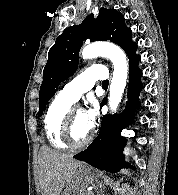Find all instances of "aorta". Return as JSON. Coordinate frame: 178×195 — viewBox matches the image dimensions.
Listing matches in <instances>:
<instances>
[{
    "instance_id": "762f6f07",
    "label": "aorta",
    "mask_w": 178,
    "mask_h": 195,
    "mask_svg": "<svg viewBox=\"0 0 178 195\" xmlns=\"http://www.w3.org/2000/svg\"><path fill=\"white\" fill-rule=\"evenodd\" d=\"M98 56L109 58L114 66L113 77L109 91V107L115 112L122 99L128 75L126 55L118 46L107 42H95L85 46L82 50L83 59H92Z\"/></svg>"
}]
</instances>
